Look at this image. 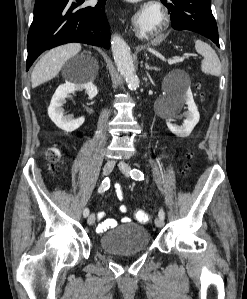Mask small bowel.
I'll list each match as a JSON object with an SVG mask.
<instances>
[{
    "label": "small bowel",
    "mask_w": 247,
    "mask_h": 299,
    "mask_svg": "<svg viewBox=\"0 0 247 299\" xmlns=\"http://www.w3.org/2000/svg\"><path fill=\"white\" fill-rule=\"evenodd\" d=\"M119 185H116L115 186V189L118 187ZM116 197L118 200H122L123 199V193L120 195L118 193H116ZM119 210L121 212H126L127 208L125 205H120L119 206ZM97 219L100 221V223L98 224L97 228H96V231L98 233H103L105 232L106 230L108 229H112L114 227L117 226V221L115 219H112V218H106V215L104 212L100 211L97 213ZM130 221V218L127 217V216H124L122 218V222H129Z\"/></svg>",
    "instance_id": "c3829d8e"
}]
</instances>
